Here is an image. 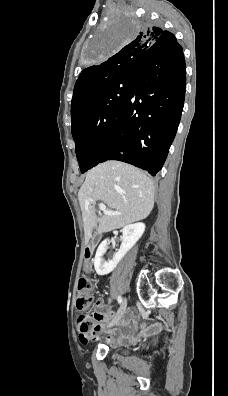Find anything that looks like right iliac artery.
<instances>
[{
	"label": "right iliac artery",
	"mask_w": 228,
	"mask_h": 396,
	"mask_svg": "<svg viewBox=\"0 0 228 396\" xmlns=\"http://www.w3.org/2000/svg\"><path fill=\"white\" fill-rule=\"evenodd\" d=\"M117 300H118V303H119V304L122 303V297H121V296H118V299H117Z\"/></svg>",
	"instance_id": "1"
}]
</instances>
